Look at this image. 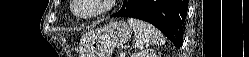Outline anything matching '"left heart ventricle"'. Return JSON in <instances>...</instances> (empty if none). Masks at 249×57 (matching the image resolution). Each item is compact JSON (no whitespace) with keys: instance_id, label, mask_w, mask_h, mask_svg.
<instances>
[{"instance_id":"obj_1","label":"left heart ventricle","mask_w":249,"mask_h":57,"mask_svg":"<svg viewBox=\"0 0 249 57\" xmlns=\"http://www.w3.org/2000/svg\"><path fill=\"white\" fill-rule=\"evenodd\" d=\"M101 6V0H80L76 7V12L80 14H89L97 11Z\"/></svg>"}]
</instances>
